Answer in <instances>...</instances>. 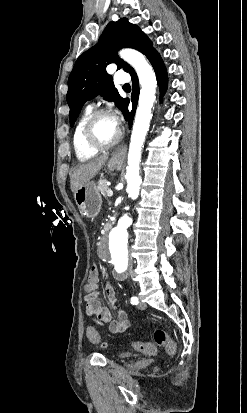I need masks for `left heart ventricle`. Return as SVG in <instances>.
Segmentation results:
<instances>
[{
	"label": "left heart ventricle",
	"mask_w": 247,
	"mask_h": 413,
	"mask_svg": "<svg viewBox=\"0 0 247 413\" xmlns=\"http://www.w3.org/2000/svg\"><path fill=\"white\" fill-rule=\"evenodd\" d=\"M118 131L109 126L106 118H100L93 129V134L101 142L112 141L117 135Z\"/></svg>",
	"instance_id": "1"
}]
</instances>
